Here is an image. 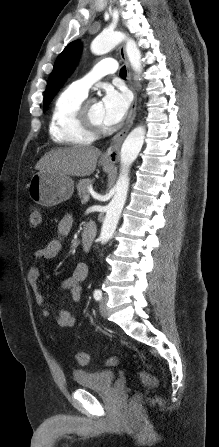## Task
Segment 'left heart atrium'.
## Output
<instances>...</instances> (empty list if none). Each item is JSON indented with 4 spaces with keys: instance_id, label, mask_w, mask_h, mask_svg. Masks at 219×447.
<instances>
[{
    "instance_id": "1",
    "label": "left heart atrium",
    "mask_w": 219,
    "mask_h": 447,
    "mask_svg": "<svg viewBox=\"0 0 219 447\" xmlns=\"http://www.w3.org/2000/svg\"><path fill=\"white\" fill-rule=\"evenodd\" d=\"M130 99L126 92L107 89L101 101L103 123L107 126L119 123L127 114Z\"/></svg>"
}]
</instances>
